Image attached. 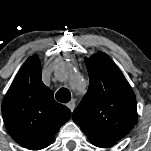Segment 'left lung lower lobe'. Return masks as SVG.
<instances>
[{
	"mask_svg": "<svg viewBox=\"0 0 151 151\" xmlns=\"http://www.w3.org/2000/svg\"><path fill=\"white\" fill-rule=\"evenodd\" d=\"M115 143L116 142L114 141H96V142H93L92 144L97 147L107 148V147L113 146Z\"/></svg>",
	"mask_w": 151,
	"mask_h": 151,
	"instance_id": "0a47b994",
	"label": "left lung lower lobe"
}]
</instances>
